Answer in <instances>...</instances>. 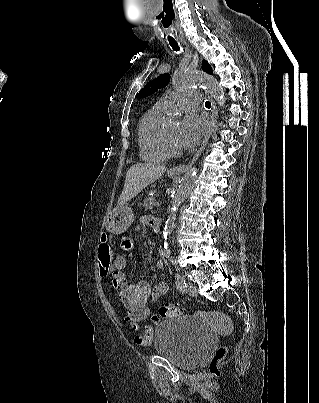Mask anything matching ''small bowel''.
<instances>
[{
  "label": "small bowel",
  "mask_w": 319,
  "mask_h": 403,
  "mask_svg": "<svg viewBox=\"0 0 319 403\" xmlns=\"http://www.w3.org/2000/svg\"><path fill=\"white\" fill-rule=\"evenodd\" d=\"M154 219L155 218L153 217H143L142 223L152 227ZM117 242L121 243V257L129 258L130 251L134 250V245L130 241V236H121V238L117 239ZM121 257H118L117 259H122ZM156 265L158 268H161L163 266V262L158 261ZM115 270H117V268ZM99 274L104 275L106 278H111L113 276V254L105 237L102 239L99 245ZM115 288L118 291V288ZM167 291L168 285L165 282H159L153 288L151 287V291H148V304L155 303L159 298L164 296ZM149 313L150 307L148 305V313H127L125 319L131 324L133 330H137L138 323L147 318Z\"/></svg>",
  "instance_id": "1"
}]
</instances>
